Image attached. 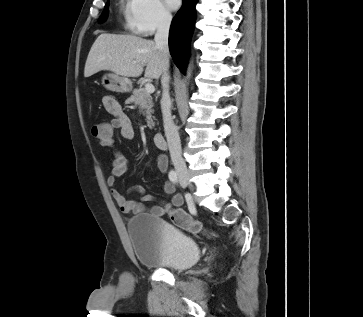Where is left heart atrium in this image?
<instances>
[{"label":"left heart atrium","mask_w":363,"mask_h":317,"mask_svg":"<svg viewBox=\"0 0 363 317\" xmlns=\"http://www.w3.org/2000/svg\"><path fill=\"white\" fill-rule=\"evenodd\" d=\"M169 9L175 10L180 6L181 0H165Z\"/></svg>","instance_id":"obj_1"}]
</instances>
